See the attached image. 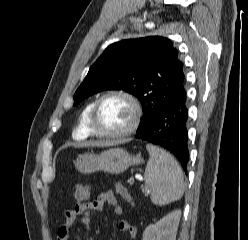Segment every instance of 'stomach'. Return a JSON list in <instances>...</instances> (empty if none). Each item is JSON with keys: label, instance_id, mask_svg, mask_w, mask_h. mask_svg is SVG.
Segmentation results:
<instances>
[{"label": "stomach", "instance_id": "1", "mask_svg": "<svg viewBox=\"0 0 248 240\" xmlns=\"http://www.w3.org/2000/svg\"><path fill=\"white\" fill-rule=\"evenodd\" d=\"M143 162L140 154L130 155L126 150L114 147L103 151L101 154L84 153L78 155L74 161L76 169L82 173L104 171L111 174H119L132 165Z\"/></svg>", "mask_w": 248, "mask_h": 240}]
</instances>
